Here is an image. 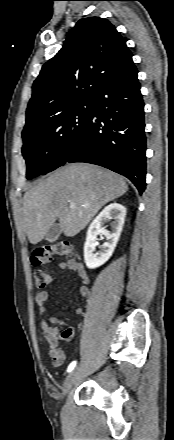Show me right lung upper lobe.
<instances>
[{"label": "right lung upper lobe", "mask_w": 174, "mask_h": 440, "mask_svg": "<svg viewBox=\"0 0 174 440\" xmlns=\"http://www.w3.org/2000/svg\"><path fill=\"white\" fill-rule=\"evenodd\" d=\"M131 61L126 41L109 20H79L62 49L43 65L34 81L23 131L90 99L104 80Z\"/></svg>", "instance_id": "obj_1"}]
</instances>
